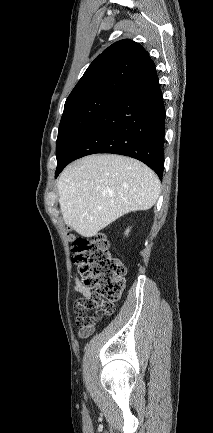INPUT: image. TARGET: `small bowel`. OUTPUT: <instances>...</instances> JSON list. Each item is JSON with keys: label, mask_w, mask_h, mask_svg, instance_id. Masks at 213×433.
Returning a JSON list of instances; mask_svg holds the SVG:
<instances>
[{"label": "small bowel", "mask_w": 213, "mask_h": 433, "mask_svg": "<svg viewBox=\"0 0 213 433\" xmlns=\"http://www.w3.org/2000/svg\"><path fill=\"white\" fill-rule=\"evenodd\" d=\"M73 289L76 293L82 295L85 298H89L91 296V292L81 283V281L77 277H75ZM93 330H94V325L89 328L81 329L79 334L81 337H87L93 332Z\"/></svg>", "instance_id": "1"}]
</instances>
